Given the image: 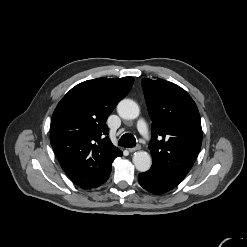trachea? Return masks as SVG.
<instances>
[{"label": "trachea", "instance_id": "trachea-1", "mask_svg": "<svg viewBox=\"0 0 247 247\" xmlns=\"http://www.w3.org/2000/svg\"><path fill=\"white\" fill-rule=\"evenodd\" d=\"M118 144L125 148H132L136 146V139L132 134L126 133L120 138Z\"/></svg>", "mask_w": 247, "mask_h": 247}]
</instances>
